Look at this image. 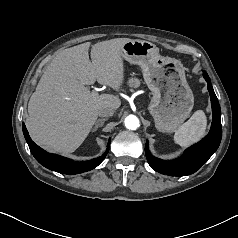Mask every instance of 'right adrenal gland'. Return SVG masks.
<instances>
[{
  "instance_id": "right-adrenal-gland-1",
  "label": "right adrenal gland",
  "mask_w": 238,
  "mask_h": 238,
  "mask_svg": "<svg viewBox=\"0 0 238 238\" xmlns=\"http://www.w3.org/2000/svg\"><path fill=\"white\" fill-rule=\"evenodd\" d=\"M108 120V118H102V119H98L96 122H95V126L93 128L92 131H96L99 127H102L104 125V122Z\"/></svg>"
}]
</instances>
